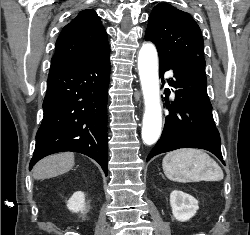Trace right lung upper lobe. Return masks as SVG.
Masks as SVG:
<instances>
[{
	"mask_svg": "<svg viewBox=\"0 0 250 235\" xmlns=\"http://www.w3.org/2000/svg\"><path fill=\"white\" fill-rule=\"evenodd\" d=\"M107 34L94 10L81 11L60 33L50 71L78 65L108 47Z\"/></svg>",
	"mask_w": 250,
	"mask_h": 235,
	"instance_id": "cb5924a9",
	"label": "right lung upper lobe"
}]
</instances>
